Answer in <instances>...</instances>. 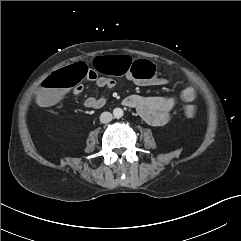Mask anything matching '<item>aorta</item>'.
I'll list each match as a JSON object with an SVG mask.
<instances>
[{
	"label": "aorta",
	"mask_w": 241,
	"mask_h": 241,
	"mask_svg": "<svg viewBox=\"0 0 241 241\" xmlns=\"http://www.w3.org/2000/svg\"><path fill=\"white\" fill-rule=\"evenodd\" d=\"M113 114L115 118H121L124 115V112L121 108H115Z\"/></svg>",
	"instance_id": "1"
}]
</instances>
